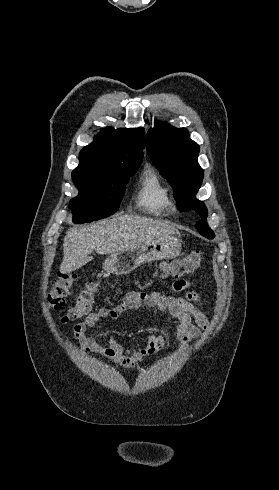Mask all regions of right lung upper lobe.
<instances>
[{"label": "right lung upper lobe", "mask_w": 279, "mask_h": 490, "mask_svg": "<svg viewBox=\"0 0 279 490\" xmlns=\"http://www.w3.org/2000/svg\"><path fill=\"white\" fill-rule=\"evenodd\" d=\"M145 147V131L108 127L79 154V166L72 174L102 177L122 168L139 167Z\"/></svg>", "instance_id": "right-lung-upper-lobe-1"}]
</instances>
